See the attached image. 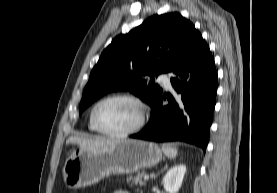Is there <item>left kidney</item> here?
Masks as SVG:
<instances>
[{
    "mask_svg": "<svg viewBox=\"0 0 277 193\" xmlns=\"http://www.w3.org/2000/svg\"><path fill=\"white\" fill-rule=\"evenodd\" d=\"M185 173V164H178L170 168L163 178L164 189L168 193H177L182 185Z\"/></svg>",
    "mask_w": 277,
    "mask_h": 193,
    "instance_id": "5707ae66",
    "label": "left kidney"
}]
</instances>
